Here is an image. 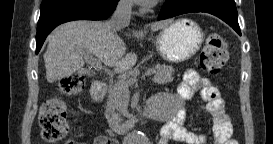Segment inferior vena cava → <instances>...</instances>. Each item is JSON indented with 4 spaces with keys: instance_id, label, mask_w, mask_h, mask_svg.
<instances>
[{
    "instance_id": "1",
    "label": "inferior vena cava",
    "mask_w": 273,
    "mask_h": 144,
    "mask_svg": "<svg viewBox=\"0 0 273 144\" xmlns=\"http://www.w3.org/2000/svg\"><path fill=\"white\" fill-rule=\"evenodd\" d=\"M131 0H120L117 7L109 21L110 29L112 32L121 30L127 27L131 19Z\"/></svg>"
}]
</instances>
